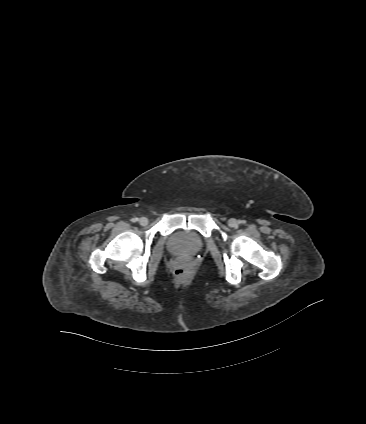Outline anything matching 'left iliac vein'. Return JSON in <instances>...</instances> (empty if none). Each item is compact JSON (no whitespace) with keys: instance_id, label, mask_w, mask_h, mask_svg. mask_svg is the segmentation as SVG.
<instances>
[{"instance_id":"4c4485c4","label":"left iliac vein","mask_w":366,"mask_h":424,"mask_svg":"<svg viewBox=\"0 0 366 424\" xmlns=\"http://www.w3.org/2000/svg\"><path fill=\"white\" fill-rule=\"evenodd\" d=\"M228 225L232 228H236L238 226V221L234 218L228 220Z\"/></svg>"}]
</instances>
